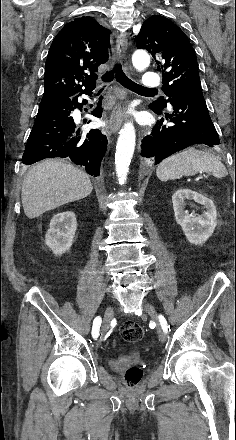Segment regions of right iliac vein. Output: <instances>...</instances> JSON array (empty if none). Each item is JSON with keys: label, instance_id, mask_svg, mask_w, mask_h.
Segmentation results:
<instances>
[{"label": "right iliac vein", "instance_id": "63e3f726", "mask_svg": "<svg viewBox=\"0 0 236 440\" xmlns=\"http://www.w3.org/2000/svg\"><path fill=\"white\" fill-rule=\"evenodd\" d=\"M112 316H113V308L111 306H108L105 309L104 317H103V324H102V328H101L102 337L105 336V334L107 333V331L109 329Z\"/></svg>", "mask_w": 236, "mask_h": 440}]
</instances>
